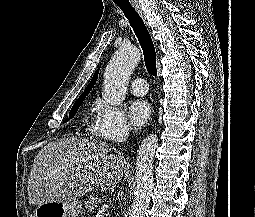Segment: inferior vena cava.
Wrapping results in <instances>:
<instances>
[{
  "instance_id": "obj_1",
  "label": "inferior vena cava",
  "mask_w": 255,
  "mask_h": 217,
  "mask_svg": "<svg viewBox=\"0 0 255 217\" xmlns=\"http://www.w3.org/2000/svg\"><path fill=\"white\" fill-rule=\"evenodd\" d=\"M127 137H128V129L126 127H123L120 129L119 133L117 134L115 141H117L118 143H122L126 141Z\"/></svg>"
}]
</instances>
